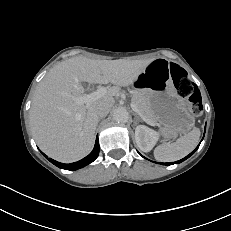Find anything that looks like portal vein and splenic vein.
Segmentation results:
<instances>
[{"mask_svg":"<svg viewBox=\"0 0 231 231\" xmlns=\"http://www.w3.org/2000/svg\"><path fill=\"white\" fill-rule=\"evenodd\" d=\"M107 92V89L105 87H100L97 89V91L88 94V95H82L78 97H73V100L76 104H89L92 101H95L97 99H100L103 97ZM132 109L148 124L155 126L156 123L146 119L140 112V110L137 108L136 104H131Z\"/></svg>","mask_w":231,"mask_h":231,"instance_id":"obj_1","label":"portal vein and splenic vein"}]
</instances>
